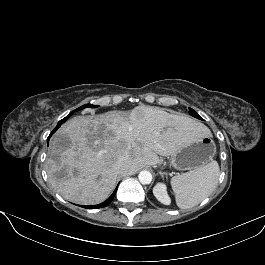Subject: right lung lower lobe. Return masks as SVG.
<instances>
[{
  "instance_id": "1",
  "label": "right lung lower lobe",
  "mask_w": 265,
  "mask_h": 265,
  "mask_svg": "<svg viewBox=\"0 0 265 265\" xmlns=\"http://www.w3.org/2000/svg\"><path fill=\"white\" fill-rule=\"evenodd\" d=\"M61 126V124L57 125L56 128L51 132V134L49 135L48 137V142H49V138L50 136ZM118 188V186H117ZM117 188L114 190V192L112 193V195L103 203L101 204H98V205H94V206H82L84 208H87V209H97V208H101V207H106L111 201L112 199L114 198L115 194H116V191H117Z\"/></svg>"
}]
</instances>
